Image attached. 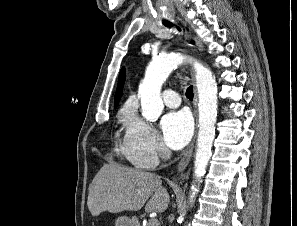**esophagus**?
Returning <instances> with one entry per match:
<instances>
[{
  "label": "esophagus",
  "instance_id": "esophagus-1",
  "mask_svg": "<svg viewBox=\"0 0 297 226\" xmlns=\"http://www.w3.org/2000/svg\"><path fill=\"white\" fill-rule=\"evenodd\" d=\"M187 36L189 37L188 34H187ZM192 80H193V85H194V105H195V108H196L197 107V102H198V97H197V91H196V88H195L194 71L193 70H192ZM195 138H196V134L194 135V138H193L192 142L190 143V145L186 149L183 157L181 158L180 162L178 163V166H177V172L178 173L184 171L185 168L187 167V165L189 164V161H190V159L192 157V153H193Z\"/></svg>",
  "mask_w": 297,
  "mask_h": 226
}]
</instances>
